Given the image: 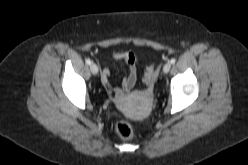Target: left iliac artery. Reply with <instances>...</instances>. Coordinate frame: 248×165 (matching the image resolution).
<instances>
[{
    "mask_svg": "<svg viewBox=\"0 0 248 165\" xmlns=\"http://www.w3.org/2000/svg\"><path fill=\"white\" fill-rule=\"evenodd\" d=\"M175 62H176V60H175L174 58H172V59L170 60V63H171V64H175Z\"/></svg>",
    "mask_w": 248,
    "mask_h": 165,
    "instance_id": "left-iliac-artery-1",
    "label": "left iliac artery"
}]
</instances>
